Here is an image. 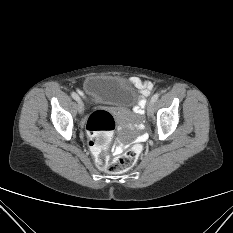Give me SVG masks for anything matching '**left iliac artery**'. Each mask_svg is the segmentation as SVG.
<instances>
[{"label":"left iliac artery","instance_id":"44dca946","mask_svg":"<svg viewBox=\"0 0 233 233\" xmlns=\"http://www.w3.org/2000/svg\"><path fill=\"white\" fill-rule=\"evenodd\" d=\"M160 94L159 93H156L153 95V97L151 98V101L154 103L157 101V99L159 98Z\"/></svg>","mask_w":233,"mask_h":233}]
</instances>
